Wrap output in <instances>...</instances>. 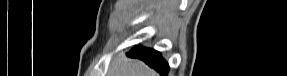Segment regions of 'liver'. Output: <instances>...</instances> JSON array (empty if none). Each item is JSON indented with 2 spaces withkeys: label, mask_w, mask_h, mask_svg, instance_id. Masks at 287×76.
I'll use <instances>...</instances> for the list:
<instances>
[{
  "label": "liver",
  "mask_w": 287,
  "mask_h": 76,
  "mask_svg": "<svg viewBox=\"0 0 287 76\" xmlns=\"http://www.w3.org/2000/svg\"><path fill=\"white\" fill-rule=\"evenodd\" d=\"M108 74V76H157V73L145 63L127 58L124 53L114 58Z\"/></svg>",
  "instance_id": "1"
}]
</instances>
